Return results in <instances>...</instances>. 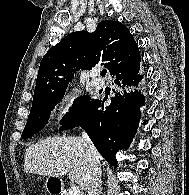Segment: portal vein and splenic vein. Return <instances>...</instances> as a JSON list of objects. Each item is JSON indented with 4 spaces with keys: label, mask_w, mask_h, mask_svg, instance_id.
<instances>
[{
    "label": "portal vein and splenic vein",
    "mask_w": 189,
    "mask_h": 195,
    "mask_svg": "<svg viewBox=\"0 0 189 195\" xmlns=\"http://www.w3.org/2000/svg\"><path fill=\"white\" fill-rule=\"evenodd\" d=\"M69 195H80V188L78 186H72L69 189Z\"/></svg>",
    "instance_id": "18ae733b"
}]
</instances>
